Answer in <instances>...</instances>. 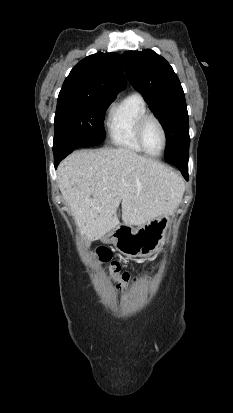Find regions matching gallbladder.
<instances>
[{
  "label": "gallbladder",
  "mask_w": 233,
  "mask_h": 413,
  "mask_svg": "<svg viewBox=\"0 0 233 413\" xmlns=\"http://www.w3.org/2000/svg\"><path fill=\"white\" fill-rule=\"evenodd\" d=\"M85 244H86L87 246H89V245H90V241H89L88 239H85Z\"/></svg>",
  "instance_id": "1"
}]
</instances>
